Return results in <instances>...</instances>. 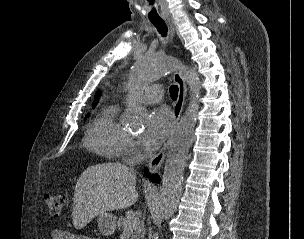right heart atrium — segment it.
Here are the masks:
<instances>
[{
	"label": "right heart atrium",
	"instance_id": "right-heart-atrium-1",
	"mask_svg": "<svg viewBox=\"0 0 304 239\" xmlns=\"http://www.w3.org/2000/svg\"><path fill=\"white\" fill-rule=\"evenodd\" d=\"M124 150L130 154L135 151L134 141L130 137H127V139H126V142L124 145Z\"/></svg>",
	"mask_w": 304,
	"mask_h": 239
}]
</instances>
